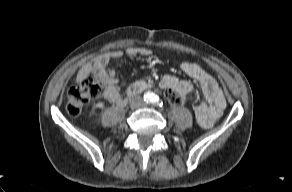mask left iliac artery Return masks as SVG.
Instances as JSON below:
<instances>
[{
	"instance_id": "left-iliac-artery-1",
	"label": "left iliac artery",
	"mask_w": 292,
	"mask_h": 192,
	"mask_svg": "<svg viewBox=\"0 0 292 192\" xmlns=\"http://www.w3.org/2000/svg\"><path fill=\"white\" fill-rule=\"evenodd\" d=\"M152 103L155 104V105H159V106L162 105V103H160V100H159L158 97H154L153 100H152Z\"/></svg>"
}]
</instances>
